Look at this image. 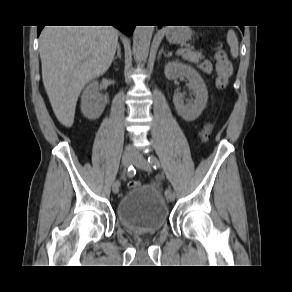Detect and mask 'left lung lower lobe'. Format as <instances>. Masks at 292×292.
Wrapping results in <instances>:
<instances>
[{
  "label": "left lung lower lobe",
  "mask_w": 292,
  "mask_h": 292,
  "mask_svg": "<svg viewBox=\"0 0 292 292\" xmlns=\"http://www.w3.org/2000/svg\"><path fill=\"white\" fill-rule=\"evenodd\" d=\"M241 30L244 32V27L243 26H240Z\"/></svg>",
  "instance_id": "0a47b994"
}]
</instances>
